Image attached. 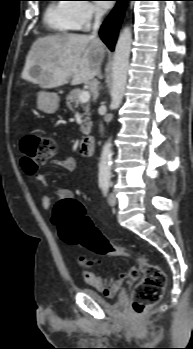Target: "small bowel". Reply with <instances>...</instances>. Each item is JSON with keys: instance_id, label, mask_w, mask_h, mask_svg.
Here are the masks:
<instances>
[{"instance_id": "1", "label": "small bowel", "mask_w": 193, "mask_h": 349, "mask_svg": "<svg viewBox=\"0 0 193 349\" xmlns=\"http://www.w3.org/2000/svg\"><path fill=\"white\" fill-rule=\"evenodd\" d=\"M53 164L59 166L66 171H73L76 167V160L71 155H65L62 159L53 160ZM21 165L24 171L33 176L42 185L47 184L46 177L43 173H40L38 169H32L30 165L26 164L24 159H21ZM57 195L62 200H72L73 193L68 188H58ZM41 204L45 211H48L51 207V198L48 195H43L41 198ZM84 280L91 286L102 290L106 294H114L122 285L125 280H136L139 276V271L136 267H131L128 271L118 274L114 279H104L95 275L90 271H84Z\"/></svg>"}]
</instances>
